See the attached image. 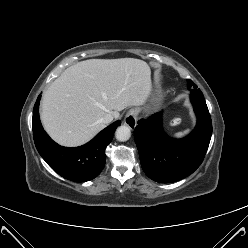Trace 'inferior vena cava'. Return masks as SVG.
Masks as SVG:
<instances>
[{"label":"inferior vena cava","mask_w":248,"mask_h":248,"mask_svg":"<svg viewBox=\"0 0 248 248\" xmlns=\"http://www.w3.org/2000/svg\"><path fill=\"white\" fill-rule=\"evenodd\" d=\"M113 119H114V116L112 114H106L105 116L101 118V122L105 124H109L110 122L113 121Z\"/></svg>","instance_id":"602c4592"}]
</instances>
